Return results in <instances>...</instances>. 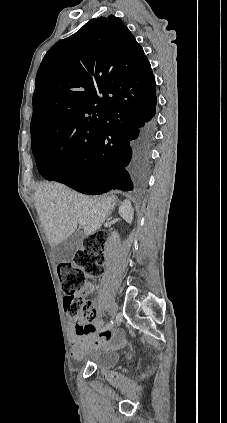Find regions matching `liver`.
<instances>
[{
  "instance_id": "liver-1",
  "label": "liver",
  "mask_w": 227,
  "mask_h": 423,
  "mask_svg": "<svg viewBox=\"0 0 227 423\" xmlns=\"http://www.w3.org/2000/svg\"><path fill=\"white\" fill-rule=\"evenodd\" d=\"M35 208L48 241L56 247L82 225L83 235L102 227L117 202L116 196L89 198L73 192L63 184H39L34 194Z\"/></svg>"
}]
</instances>
